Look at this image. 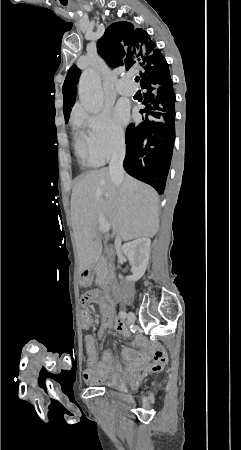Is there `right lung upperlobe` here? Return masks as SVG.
<instances>
[{"instance_id":"cb5924a9","label":"right lung upper lobe","mask_w":241,"mask_h":450,"mask_svg":"<svg viewBox=\"0 0 241 450\" xmlns=\"http://www.w3.org/2000/svg\"><path fill=\"white\" fill-rule=\"evenodd\" d=\"M97 49L111 67L126 66V70L161 65L166 62L149 34L141 28H134L125 21L113 23L98 40ZM81 71L73 65L68 75H77Z\"/></svg>"}]
</instances>
